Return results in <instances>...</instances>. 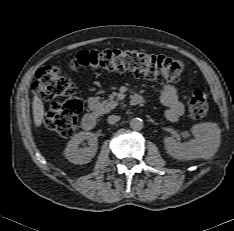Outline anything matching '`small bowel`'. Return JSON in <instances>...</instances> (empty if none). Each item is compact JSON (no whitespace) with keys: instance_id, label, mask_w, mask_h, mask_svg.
I'll return each instance as SVG.
<instances>
[{"instance_id":"c3829d8e","label":"small bowel","mask_w":234,"mask_h":231,"mask_svg":"<svg viewBox=\"0 0 234 231\" xmlns=\"http://www.w3.org/2000/svg\"><path fill=\"white\" fill-rule=\"evenodd\" d=\"M160 99L167 106V120L177 122L184 112L183 103L179 99V89L174 85H164L160 91Z\"/></svg>"}]
</instances>
